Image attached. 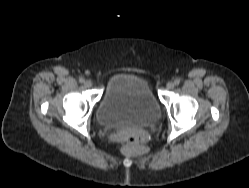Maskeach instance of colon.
Listing matches in <instances>:
<instances>
[{
    "label": "colon",
    "instance_id": "obj_1",
    "mask_svg": "<svg viewBox=\"0 0 249 188\" xmlns=\"http://www.w3.org/2000/svg\"><path fill=\"white\" fill-rule=\"evenodd\" d=\"M138 143L139 141L136 137H129L122 143L121 148L125 152H133Z\"/></svg>",
    "mask_w": 249,
    "mask_h": 188
}]
</instances>
